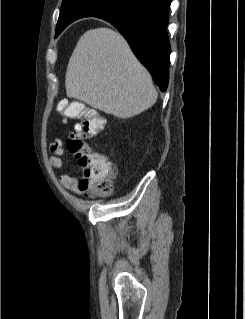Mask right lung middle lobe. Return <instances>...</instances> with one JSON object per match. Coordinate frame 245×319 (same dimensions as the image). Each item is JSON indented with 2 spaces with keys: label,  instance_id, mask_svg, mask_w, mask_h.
Wrapping results in <instances>:
<instances>
[{
  "label": "right lung middle lobe",
  "instance_id": "dd1d6c3e",
  "mask_svg": "<svg viewBox=\"0 0 245 319\" xmlns=\"http://www.w3.org/2000/svg\"><path fill=\"white\" fill-rule=\"evenodd\" d=\"M124 1L126 0H84L80 1L79 5L91 13L90 16H96L106 10L122 4ZM61 10H63V6L61 7ZM62 30L63 28L56 29V33H60Z\"/></svg>",
  "mask_w": 245,
  "mask_h": 319
}]
</instances>
